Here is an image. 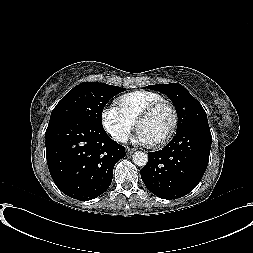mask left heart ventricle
I'll list each match as a JSON object with an SVG mask.
<instances>
[{
    "label": "left heart ventricle",
    "instance_id": "left-heart-ventricle-1",
    "mask_svg": "<svg viewBox=\"0 0 253 253\" xmlns=\"http://www.w3.org/2000/svg\"><path fill=\"white\" fill-rule=\"evenodd\" d=\"M172 120L170 108L161 106L140 123L138 130L143 132L153 144L160 141L168 133Z\"/></svg>",
    "mask_w": 253,
    "mask_h": 253
}]
</instances>
